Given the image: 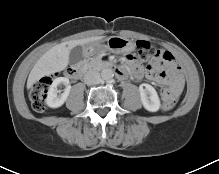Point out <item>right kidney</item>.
Returning <instances> with one entry per match:
<instances>
[{
	"instance_id": "right-kidney-1",
	"label": "right kidney",
	"mask_w": 219,
	"mask_h": 174,
	"mask_svg": "<svg viewBox=\"0 0 219 174\" xmlns=\"http://www.w3.org/2000/svg\"><path fill=\"white\" fill-rule=\"evenodd\" d=\"M60 84L65 86L63 93L57 89ZM70 90L71 85L68 78L58 77L54 79L47 93L46 104L51 108H58L62 106L67 100Z\"/></svg>"
}]
</instances>
